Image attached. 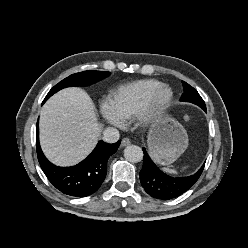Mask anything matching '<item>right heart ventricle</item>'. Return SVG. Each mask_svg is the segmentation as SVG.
Listing matches in <instances>:
<instances>
[{"mask_svg":"<svg viewBox=\"0 0 248 248\" xmlns=\"http://www.w3.org/2000/svg\"><path fill=\"white\" fill-rule=\"evenodd\" d=\"M161 85L157 80L143 79L115 89L110 100L121 123L127 124L135 120L148 103L152 93Z\"/></svg>","mask_w":248,"mask_h":248,"instance_id":"right-heart-ventricle-1","label":"right heart ventricle"}]
</instances>
